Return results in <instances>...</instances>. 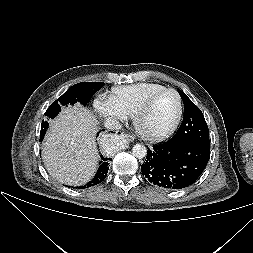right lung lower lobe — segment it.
Listing matches in <instances>:
<instances>
[{"mask_svg":"<svg viewBox=\"0 0 253 253\" xmlns=\"http://www.w3.org/2000/svg\"><path fill=\"white\" fill-rule=\"evenodd\" d=\"M41 140L42 138H40V141ZM101 158H102V161H100L99 163V168L94 178L90 182H88L86 185L80 186L78 188H87V187L97 185L106 178L108 170H109V161H111V158H107L103 156Z\"/></svg>","mask_w":253,"mask_h":253,"instance_id":"obj_1","label":"right lung lower lobe"}]
</instances>
